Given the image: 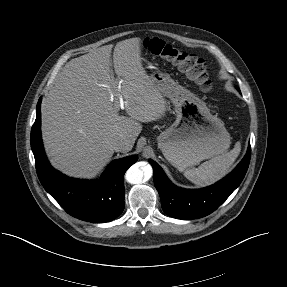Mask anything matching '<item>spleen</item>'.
Returning a JSON list of instances; mask_svg holds the SVG:
<instances>
[{"label": "spleen", "instance_id": "1", "mask_svg": "<svg viewBox=\"0 0 287 287\" xmlns=\"http://www.w3.org/2000/svg\"><path fill=\"white\" fill-rule=\"evenodd\" d=\"M241 151L240 142H236L234 148L223 155L204 162L198 168L186 170L184 176L197 186L211 185L224 177L230 166L234 163Z\"/></svg>", "mask_w": 287, "mask_h": 287}]
</instances>
